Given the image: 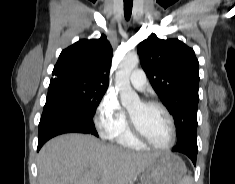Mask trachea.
Listing matches in <instances>:
<instances>
[{"label": "trachea", "instance_id": "obj_1", "mask_svg": "<svg viewBox=\"0 0 235 184\" xmlns=\"http://www.w3.org/2000/svg\"><path fill=\"white\" fill-rule=\"evenodd\" d=\"M133 0H124V15L126 20L130 19L132 12Z\"/></svg>", "mask_w": 235, "mask_h": 184}]
</instances>
